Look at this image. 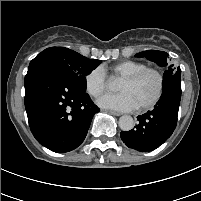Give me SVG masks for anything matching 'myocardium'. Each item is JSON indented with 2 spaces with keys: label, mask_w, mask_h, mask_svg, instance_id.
Here are the masks:
<instances>
[{
  "label": "myocardium",
  "mask_w": 201,
  "mask_h": 201,
  "mask_svg": "<svg viewBox=\"0 0 201 201\" xmlns=\"http://www.w3.org/2000/svg\"><path fill=\"white\" fill-rule=\"evenodd\" d=\"M147 73H152L156 76V78H157V90H156L154 97L150 101H148L145 104L137 106V108L139 110L150 109V108L154 107L159 102V100L161 99V97L163 95V91H164V86H165V78H164L163 73L157 68L145 67V68H143L137 72H134V73L127 75V76L122 78V80L132 83V82L137 81L138 79H140L142 76H144Z\"/></svg>",
  "instance_id": "obj_1"
}]
</instances>
